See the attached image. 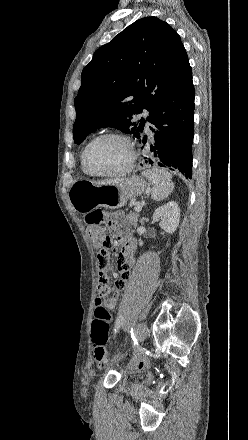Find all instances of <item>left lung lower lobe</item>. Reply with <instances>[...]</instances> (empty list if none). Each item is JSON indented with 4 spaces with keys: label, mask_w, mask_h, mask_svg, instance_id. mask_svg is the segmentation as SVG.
Segmentation results:
<instances>
[{
    "label": "left lung lower lobe",
    "mask_w": 248,
    "mask_h": 440,
    "mask_svg": "<svg viewBox=\"0 0 248 440\" xmlns=\"http://www.w3.org/2000/svg\"><path fill=\"white\" fill-rule=\"evenodd\" d=\"M155 142L141 165L161 166L192 178L194 85L192 80L171 92L148 120ZM147 137L144 136L143 143Z\"/></svg>",
    "instance_id": "0a47b994"
}]
</instances>
